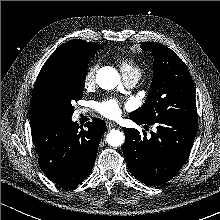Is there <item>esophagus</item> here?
Returning a JSON list of instances; mask_svg holds the SVG:
<instances>
[{"label": "esophagus", "mask_w": 220, "mask_h": 220, "mask_svg": "<svg viewBox=\"0 0 220 220\" xmlns=\"http://www.w3.org/2000/svg\"><path fill=\"white\" fill-rule=\"evenodd\" d=\"M106 124H107V127H108L109 129H111V128H113V127L116 126V124L113 123V122H111V121L106 122Z\"/></svg>", "instance_id": "1"}]
</instances>
